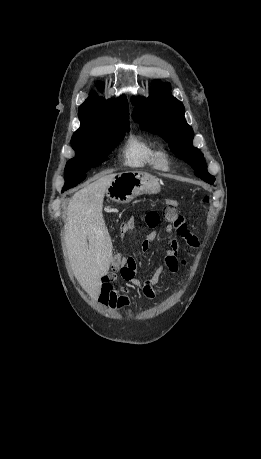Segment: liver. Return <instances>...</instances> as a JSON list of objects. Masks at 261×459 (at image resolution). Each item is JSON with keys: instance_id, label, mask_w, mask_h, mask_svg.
I'll return each instance as SVG.
<instances>
[{"instance_id": "6515ba94", "label": "liver", "mask_w": 261, "mask_h": 459, "mask_svg": "<svg viewBox=\"0 0 261 459\" xmlns=\"http://www.w3.org/2000/svg\"><path fill=\"white\" fill-rule=\"evenodd\" d=\"M116 174H100L70 199L65 245L75 277L91 297L101 293V278L112 261V241L102 208L104 195Z\"/></svg>"}]
</instances>
